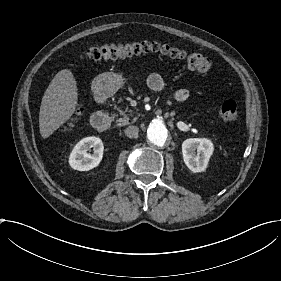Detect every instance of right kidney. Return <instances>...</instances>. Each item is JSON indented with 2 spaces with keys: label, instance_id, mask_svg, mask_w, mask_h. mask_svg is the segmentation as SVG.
Returning <instances> with one entry per match:
<instances>
[{
  "label": "right kidney",
  "instance_id": "obj_1",
  "mask_svg": "<svg viewBox=\"0 0 281 281\" xmlns=\"http://www.w3.org/2000/svg\"><path fill=\"white\" fill-rule=\"evenodd\" d=\"M93 149L92 154L89 153ZM103 142L95 136L81 139L72 149L69 157V166L77 171H89L99 166L103 158Z\"/></svg>",
  "mask_w": 281,
  "mask_h": 281
}]
</instances>
